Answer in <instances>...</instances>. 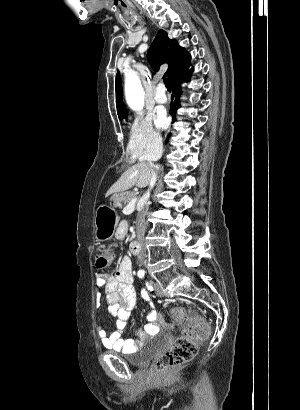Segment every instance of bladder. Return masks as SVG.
I'll list each match as a JSON object with an SVG mask.
<instances>
[{
  "instance_id": "obj_1",
  "label": "bladder",
  "mask_w": 300,
  "mask_h": 410,
  "mask_svg": "<svg viewBox=\"0 0 300 410\" xmlns=\"http://www.w3.org/2000/svg\"><path fill=\"white\" fill-rule=\"evenodd\" d=\"M157 351H158L157 345H146L140 349H137L131 355L123 356L122 360L132 366L143 367L151 361V359L155 356Z\"/></svg>"
}]
</instances>
